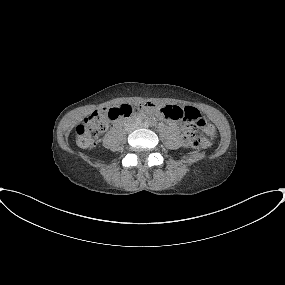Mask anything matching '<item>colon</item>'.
I'll use <instances>...</instances> for the list:
<instances>
[{
	"label": "colon",
	"mask_w": 285,
	"mask_h": 285,
	"mask_svg": "<svg viewBox=\"0 0 285 285\" xmlns=\"http://www.w3.org/2000/svg\"><path fill=\"white\" fill-rule=\"evenodd\" d=\"M139 110H146L152 113H159L163 117L172 121H183L186 124H196V127H204L209 135H213L215 129L212 125H206L200 112L191 107L182 108L177 105H159L154 102H142L136 104H123L110 109L103 107L95 109L76 128L77 144L81 148L94 147L100 135L108 128L111 121L126 119ZM185 140L189 146L201 149L208 146V141L204 137L187 128Z\"/></svg>",
	"instance_id": "5ec220e1"
}]
</instances>
